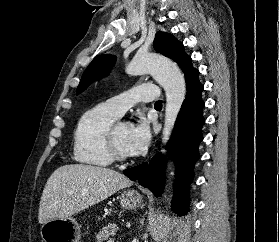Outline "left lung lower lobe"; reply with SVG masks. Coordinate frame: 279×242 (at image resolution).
I'll list each match as a JSON object with an SVG mask.
<instances>
[{
  "mask_svg": "<svg viewBox=\"0 0 279 242\" xmlns=\"http://www.w3.org/2000/svg\"><path fill=\"white\" fill-rule=\"evenodd\" d=\"M187 85V95L175 122L171 139L168 144L177 164V176L174 185L173 210L181 215L189 211L188 190L193 176V167L199 159L198 147L203 140L202 126L205 119L202 116L204 102L201 98L203 85L199 82V71L193 68L188 57L181 66ZM123 173L131 180H137L140 185L150 189L154 195L160 196L163 189V163L157 155L148 164L126 169Z\"/></svg>",
  "mask_w": 279,
  "mask_h": 242,
  "instance_id": "0a47b994",
  "label": "left lung lower lobe"
}]
</instances>
